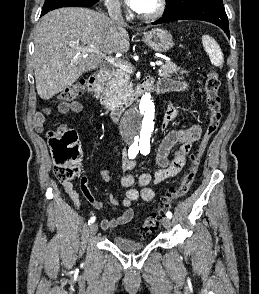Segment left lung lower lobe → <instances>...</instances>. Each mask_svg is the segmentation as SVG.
I'll list each match as a JSON object with an SVG mask.
<instances>
[{"mask_svg": "<svg viewBox=\"0 0 259 294\" xmlns=\"http://www.w3.org/2000/svg\"><path fill=\"white\" fill-rule=\"evenodd\" d=\"M178 20H202L213 23L223 29L226 35L230 38L228 18L223 5L210 3L200 4L181 12L164 15L152 24L155 25Z\"/></svg>", "mask_w": 259, "mask_h": 294, "instance_id": "1", "label": "left lung lower lobe"}]
</instances>
